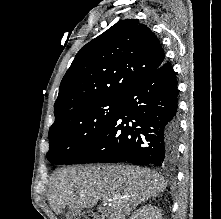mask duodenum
Here are the masks:
<instances>
[{
	"instance_id": "1",
	"label": "duodenum",
	"mask_w": 221,
	"mask_h": 219,
	"mask_svg": "<svg viewBox=\"0 0 221 219\" xmlns=\"http://www.w3.org/2000/svg\"><path fill=\"white\" fill-rule=\"evenodd\" d=\"M99 219H111L110 217H108L107 215L105 214H102L99 216Z\"/></svg>"
}]
</instances>
